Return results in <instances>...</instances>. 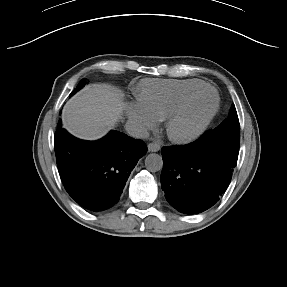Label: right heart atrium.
Listing matches in <instances>:
<instances>
[{"label":"right heart atrium","mask_w":287,"mask_h":287,"mask_svg":"<svg viewBox=\"0 0 287 287\" xmlns=\"http://www.w3.org/2000/svg\"><path fill=\"white\" fill-rule=\"evenodd\" d=\"M129 120L141 131L153 129L157 120L139 103H133L127 110Z\"/></svg>","instance_id":"1"}]
</instances>
